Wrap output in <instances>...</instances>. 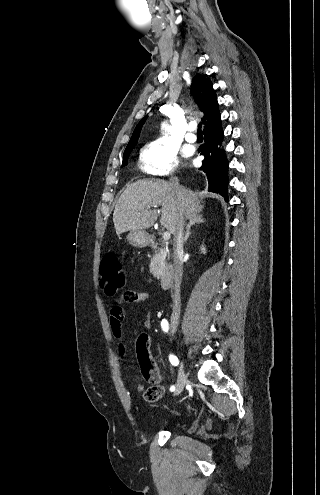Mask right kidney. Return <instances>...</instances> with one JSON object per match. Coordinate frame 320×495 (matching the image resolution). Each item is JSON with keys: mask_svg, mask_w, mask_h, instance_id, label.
<instances>
[{"mask_svg": "<svg viewBox=\"0 0 320 495\" xmlns=\"http://www.w3.org/2000/svg\"><path fill=\"white\" fill-rule=\"evenodd\" d=\"M201 251H202V253H204V254H205V251H206V250H205V247H204V246H202V247H201Z\"/></svg>", "mask_w": 320, "mask_h": 495, "instance_id": "ca27d5eb", "label": "right kidney"}]
</instances>
